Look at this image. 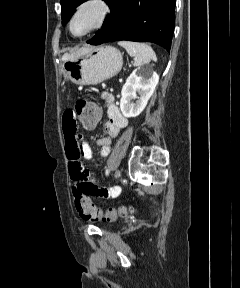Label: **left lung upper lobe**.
<instances>
[{
	"label": "left lung upper lobe",
	"mask_w": 240,
	"mask_h": 288,
	"mask_svg": "<svg viewBox=\"0 0 240 288\" xmlns=\"http://www.w3.org/2000/svg\"><path fill=\"white\" fill-rule=\"evenodd\" d=\"M87 0H61V7H62V24H66V22L70 19L73 14L74 9L80 5L81 3ZM109 7L112 4V0H104Z\"/></svg>",
	"instance_id": "left-lung-upper-lobe-1"
}]
</instances>
